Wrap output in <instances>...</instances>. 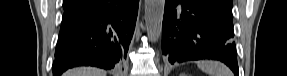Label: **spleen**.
Listing matches in <instances>:
<instances>
[{
    "instance_id": "3e777b00",
    "label": "spleen",
    "mask_w": 287,
    "mask_h": 76,
    "mask_svg": "<svg viewBox=\"0 0 287 76\" xmlns=\"http://www.w3.org/2000/svg\"><path fill=\"white\" fill-rule=\"evenodd\" d=\"M198 67L210 76H232L231 70L217 61H202Z\"/></svg>"
}]
</instances>
